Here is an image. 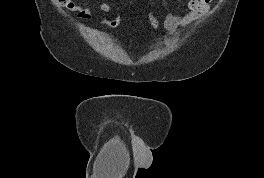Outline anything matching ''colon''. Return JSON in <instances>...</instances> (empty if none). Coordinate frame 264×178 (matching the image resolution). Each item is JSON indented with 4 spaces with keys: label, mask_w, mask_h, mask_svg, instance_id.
<instances>
[{
    "label": "colon",
    "mask_w": 264,
    "mask_h": 178,
    "mask_svg": "<svg viewBox=\"0 0 264 178\" xmlns=\"http://www.w3.org/2000/svg\"><path fill=\"white\" fill-rule=\"evenodd\" d=\"M58 4L62 7L71 8L73 6V0H57ZM122 23V17L120 15H109L103 21V25L109 29H116ZM161 24V16L158 13H150L146 20L147 28L150 31L156 30Z\"/></svg>",
    "instance_id": "5ec220e1"
}]
</instances>
